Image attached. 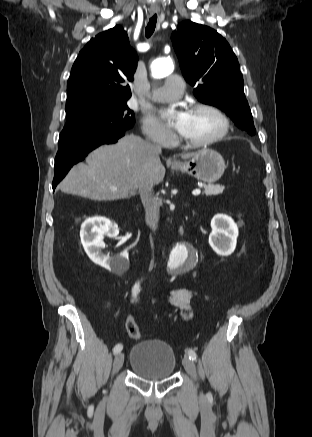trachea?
Here are the masks:
<instances>
[{"label": "trachea", "mask_w": 312, "mask_h": 437, "mask_svg": "<svg viewBox=\"0 0 312 437\" xmlns=\"http://www.w3.org/2000/svg\"><path fill=\"white\" fill-rule=\"evenodd\" d=\"M156 22H157V15H154L149 19V22L145 30L146 37L149 38L153 34L156 27Z\"/></svg>", "instance_id": "3493384b"}]
</instances>
